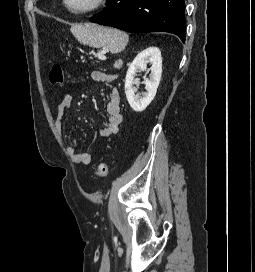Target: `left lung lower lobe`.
I'll use <instances>...</instances> for the list:
<instances>
[{
    "label": "left lung lower lobe",
    "mask_w": 255,
    "mask_h": 272,
    "mask_svg": "<svg viewBox=\"0 0 255 272\" xmlns=\"http://www.w3.org/2000/svg\"><path fill=\"white\" fill-rule=\"evenodd\" d=\"M107 6L90 21L127 32H169L185 41L184 0H108Z\"/></svg>",
    "instance_id": "obj_1"
}]
</instances>
